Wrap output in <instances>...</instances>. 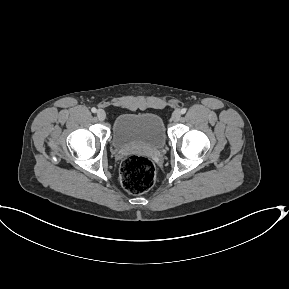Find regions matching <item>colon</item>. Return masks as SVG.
I'll list each match as a JSON object with an SVG mask.
<instances>
[{
	"label": "colon",
	"instance_id": "colon-1",
	"mask_svg": "<svg viewBox=\"0 0 289 289\" xmlns=\"http://www.w3.org/2000/svg\"><path fill=\"white\" fill-rule=\"evenodd\" d=\"M120 179L130 193L141 194L148 191L155 179L153 163L143 155L128 156L121 165Z\"/></svg>",
	"mask_w": 289,
	"mask_h": 289
}]
</instances>
